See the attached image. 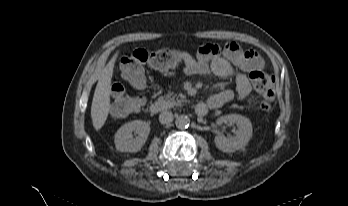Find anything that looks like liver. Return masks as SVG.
<instances>
[{
	"label": "liver",
	"instance_id": "1",
	"mask_svg": "<svg viewBox=\"0 0 348 206\" xmlns=\"http://www.w3.org/2000/svg\"><path fill=\"white\" fill-rule=\"evenodd\" d=\"M118 53L117 51L102 70L94 92L91 105V118L95 130L102 128L110 111L111 80Z\"/></svg>",
	"mask_w": 348,
	"mask_h": 206
}]
</instances>
